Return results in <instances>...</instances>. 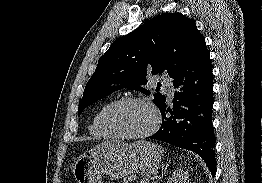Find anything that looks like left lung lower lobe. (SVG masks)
I'll return each mask as SVG.
<instances>
[{"label": "left lung lower lobe", "mask_w": 262, "mask_h": 183, "mask_svg": "<svg viewBox=\"0 0 262 183\" xmlns=\"http://www.w3.org/2000/svg\"><path fill=\"white\" fill-rule=\"evenodd\" d=\"M173 108L159 109L161 128L150 139L160 140L198 154L214 176L215 138L212 125L213 78L210 54L204 47L173 79Z\"/></svg>", "instance_id": "left-lung-lower-lobe-1"}]
</instances>
